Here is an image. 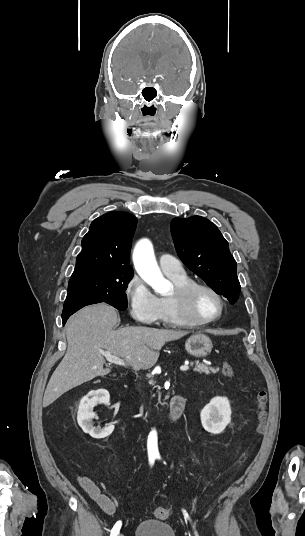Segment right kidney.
<instances>
[{
	"label": "right kidney",
	"mask_w": 305,
	"mask_h": 536,
	"mask_svg": "<svg viewBox=\"0 0 305 536\" xmlns=\"http://www.w3.org/2000/svg\"><path fill=\"white\" fill-rule=\"evenodd\" d=\"M89 396H92L90 400ZM97 402L109 404V394L107 390H96V392H92V394H88V396L82 398L78 412V424L83 432H85V434H90L92 438H107V436L112 434L114 426H109V428H104V430H101V428H93L92 420L95 414L92 410Z\"/></svg>",
	"instance_id": "1"
}]
</instances>
